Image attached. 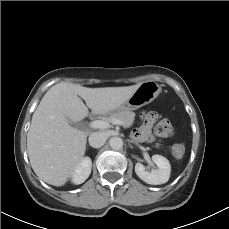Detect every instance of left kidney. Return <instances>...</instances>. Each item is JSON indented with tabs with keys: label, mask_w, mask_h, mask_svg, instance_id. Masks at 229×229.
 <instances>
[{
	"label": "left kidney",
	"mask_w": 229,
	"mask_h": 229,
	"mask_svg": "<svg viewBox=\"0 0 229 229\" xmlns=\"http://www.w3.org/2000/svg\"><path fill=\"white\" fill-rule=\"evenodd\" d=\"M152 161L157 165V169L146 171L142 163L135 164V172L137 176L144 182L151 185L164 184L169 180L171 165L169 161L161 155H153Z\"/></svg>",
	"instance_id": "5707ae66"
}]
</instances>
